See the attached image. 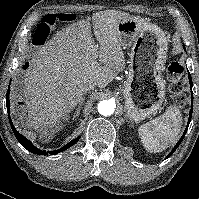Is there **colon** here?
<instances>
[{
  "label": "colon",
  "instance_id": "5ec220e1",
  "mask_svg": "<svg viewBox=\"0 0 199 199\" xmlns=\"http://www.w3.org/2000/svg\"><path fill=\"white\" fill-rule=\"evenodd\" d=\"M71 20V14L68 13L47 14L46 16H44L41 23L36 29L35 40L37 42L44 41L58 22H69ZM167 70L170 79L169 90L174 95L175 102L179 105H183L185 103V97L179 81L183 73V66L178 61H171L168 65Z\"/></svg>",
  "mask_w": 199,
  "mask_h": 199
}]
</instances>
